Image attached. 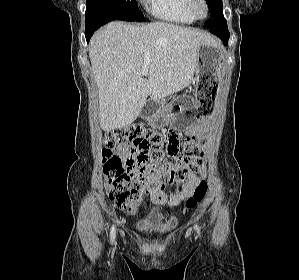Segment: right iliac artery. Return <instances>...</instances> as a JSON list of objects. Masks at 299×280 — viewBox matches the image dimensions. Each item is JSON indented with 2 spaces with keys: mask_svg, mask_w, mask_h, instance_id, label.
I'll return each instance as SVG.
<instances>
[{
  "mask_svg": "<svg viewBox=\"0 0 299 280\" xmlns=\"http://www.w3.org/2000/svg\"><path fill=\"white\" fill-rule=\"evenodd\" d=\"M115 236H116L115 226H112L111 233H110V240L112 243L115 241Z\"/></svg>",
  "mask_w": 299,
  "mask_h": 280,
  "instance_id": "1",
  "label": "right iliac artery"
}]
</instances>
